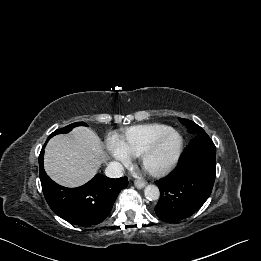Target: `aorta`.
Wrapping results in <instances>:
<instances>
[{
  "mask_svg": "<svg viewBox=\"0 0 261 261\" xmlns=\"http://www.w3.org/2000/svg\"><path fill=\"white\" fill-rule=\"evenodd\" d=\"M144 195L150 201L158 200L160 197L159 188L156 185H147L144 189Z\"/></svg>",
  "mask_w": 261,
  "mask_h": 261,
  "instance_id": "aorta-1",
  "label": "aorta"
}]
</instances>
